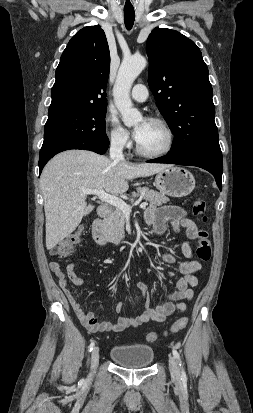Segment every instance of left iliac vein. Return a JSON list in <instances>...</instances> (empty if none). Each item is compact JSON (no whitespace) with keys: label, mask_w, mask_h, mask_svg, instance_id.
I'll return each instance as SVG.
<instances>
[{"label":"left iliac vein","mask_w":253,"mask_h":413,"mask_svg":"<svg viewBox=\"0 0 253 413\" xmlns=\"http://www.w3.org/2000/svg\"><path fill=\"white\" fill-rule=\"evenodd\" d=\"M169 370L171 373V376L174 380L179 381L180 380V369L178 367V364L173 356L169 357Z\"/></svg>","instance_id":"1"}]
</instances>
